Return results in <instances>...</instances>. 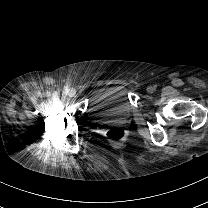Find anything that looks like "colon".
I'll return each instance as SVG.
<instances>
[{"instance_id":"obj_1","label":"colon","mask_w":208,"mask_h":208,"mask_svg":"<svg viewBox=\"0 0 208 208\" xmlns=\"http://www.w3.org/2000/svg\"><path fill=\"white\" fill-rule=\"evenodd\" d=\"M125 136V131L122 128H112L106 133L108 140L113 142L121 141Z\"/></svg>"}]
</instances>
